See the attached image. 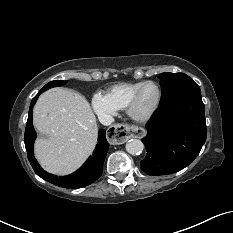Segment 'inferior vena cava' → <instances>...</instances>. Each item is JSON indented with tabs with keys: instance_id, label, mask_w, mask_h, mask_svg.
<instances>
[{
	"instance_id": "obj_1",
	"label": "inferior vena cava",
	"mask_w": 233,
	"mask_h": 233,
	"mask_svg": "<svg viewBox=\"0 0 233 233\" xmlns=\"http://www.w3.org/2000/svg\"><path fill=\"white\" fill-rule=\"evenodd\" d=\"M99 121L105 126H109L114 122V118L109 114H100Z\"/></svg>"
}]
</instances>
